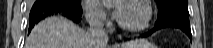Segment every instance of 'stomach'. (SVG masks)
Listing matches in <instances>:
<instances>
[{
	"label": "stomach",
	"mask_w": 213,
	"mask_h": 48,
	"mask_svg": "<svg viewBox=\"0 0 213 48\" xmlns=\"http://www.w3.org/2000/svg\"><path fill=\"white\" fill-rule=\"evenodd\" d=\"M134 48H158V47L151 43H140Z\"/></svg>",
	"instance_id": "obj_1"
}]
</instances>
